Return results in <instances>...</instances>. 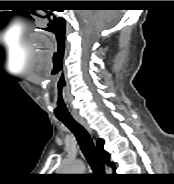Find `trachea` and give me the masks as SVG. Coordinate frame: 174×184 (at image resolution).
<instances>
[{
    "label": "trachea",
    "instance_id": "trachea-1",
    "mask_svg": "<svg viewBox=\"0 0 174 184\" xmlns=\"http://www.w3.org/2000/svg\"><path fill=\"white\" fill-rule=\"evenodd\" d=\"M76 136L81 150L86 157L91 169L99 174L104 172V163L98 155L94 143L86 129L73 118H59Z\"/></svg>",
    "mask_w": 174,
    "mask_h": 184
}]
</instances>
